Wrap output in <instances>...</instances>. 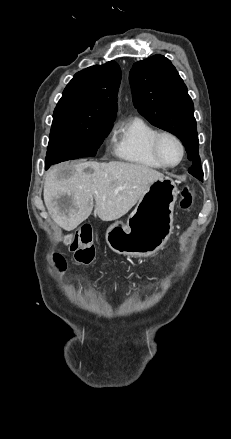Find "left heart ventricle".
Masks as SVG:
<instances>
[{
	"label": "left heart ventricle",
	"mask_w": 231,
	"mask_h": 439,
	"mask_svg": "<svg viewBox=\"0 0 231 439\" xmlns=\"http://www.w3.org/2000/svg\"><path fill=\"white\" fill-rule=\"evenodd\" d=\"M160 153L168 164H176L181 156L180 147L175 140L170 137H163L160 140Z\"/></svg>",
	"instance_id": "b2bd125f"
}]
</instances>
